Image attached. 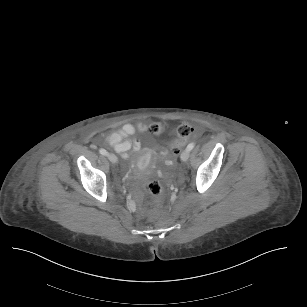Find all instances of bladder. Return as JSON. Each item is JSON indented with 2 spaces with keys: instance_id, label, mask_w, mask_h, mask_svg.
Instances as JSON below:
<instances>
[{
  "instance_id": "obj_1",
  "label": "bladder",
  "mask_w": 307,
  "mask_h": 307,
  "mask_svg": "<svg viewBox=\"0 0 307 307\" xmlns=\"http://www.w3.org/2000/svg\"><path fill=\"white\" fill-rule=\"evenodd\" d=\"M127 162H130V159H127Z\"/></svg>"
}]
</instances>
